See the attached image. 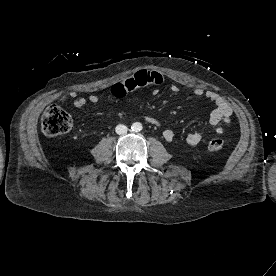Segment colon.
<instances>
[{
    "label": "colon",
    "instance_id": "colon-1",
    "mask_svg": "<svg viewBox=\"0 0 276 276\" xmlns=\"http://www.w3.org/2000/svg\"><path fill=\"white\" fill-rule=\"evenodd\" d=\"M72 127L70 115L57 105L49 106L42 116L41 128L49 137H55L67 133ZM206 148L210 152H219L224 148L221 138H213L207 142Z\"/></svg>",
    "mask_w": 276,
    "mask_h": 276
}]
</instances>
